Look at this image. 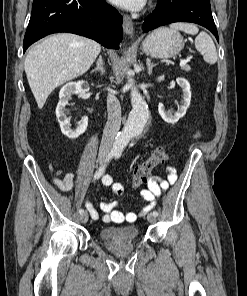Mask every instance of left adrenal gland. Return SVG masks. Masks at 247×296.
I'll return each mask as SVG.
<instances>
[{
    "mask_svg": "<svg viewBox=\"0 0 247 296\" xmlns=\"http://www.w3.org/2000/svg\"><path fill=\"white\" fill-rule=\"evenodd\" d=\"M146 65H147V67H148V75H151V74H152V70H153V68L156 66V64H153V63L151 62V60H150L149 58H147V60H146Z\"/></svg>",
    "mask_w": 247,
    "mask_h": 296,
    "instance_id": "a2214340",
    "label": "left adrenal gland"
}]
</instances>
